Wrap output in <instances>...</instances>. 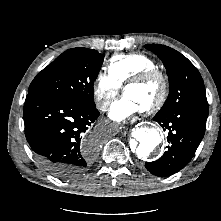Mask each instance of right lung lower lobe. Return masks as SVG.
<instances>
[{
	"mask_svg": "<svg viewBox=\"0 0 221 221\" xmlns=\"http://www.w3.org/2000/svg\"><path fill=\"white\" fill-rule=\"evenodd\" d=\"M23 116L26 139L46 171L69 180L86 170L95 146H84L82 136L99 116L96 107L32 91L26 97Z\"/></svg>",
	"mask_w": 221,
	"mask_h": 221,
	"instance_id": "1",
	"label": "right lung lower lobe"
}]
</instances>
